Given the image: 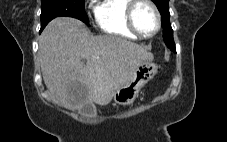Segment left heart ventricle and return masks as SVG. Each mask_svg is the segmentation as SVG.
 Returning <instances> with one entry per match:
<instances>
[{
  "label": "left heart ventricle",
  "instance_id": "1",
  "mask_svg": "<svg viewBox=\"0 0 227 142\" xmlns=\"http://www.w3.org/2000/svg\"><path fill=\"white\" fill-rule=\"evenodd\" d=\"M137 28L146 35L153 33L157 26L156 15L147 4H141L135 12Z\"/></svg>",
  "mask_w": 227,
  "mask_h": 142
}]
</instances>
